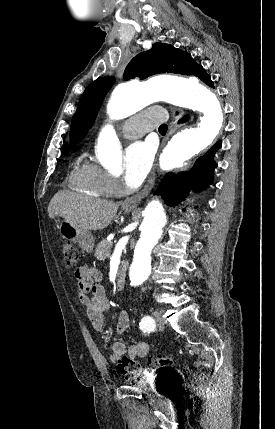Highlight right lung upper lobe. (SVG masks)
<instances>
[{
  "instance_id": "cb5924a9",
  "label": "right lung upper lobe",
  "mask_w": 275,
  "mask_h": 429,
  "mask_svg": "<svg viewBox=\"0 0 275 429\" xmlns=\"http://www.w3.org/2000/svg\"><path fill=\"white\" fill-rule=\"evenodd\" d=\"M67 148H68V146L66 145L65 148H64V150H63V154H66Z\"/></svg>"
}]
</instances>
